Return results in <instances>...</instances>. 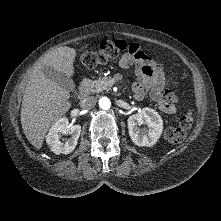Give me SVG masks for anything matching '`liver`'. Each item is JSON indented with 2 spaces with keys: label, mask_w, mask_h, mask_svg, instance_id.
<instances>
[{
  "label": "liver",
  "mask_w": 221,
  "mask_h": 221,
  "mask_svg": "<svg viewBox=\"0 0 221 221\" xmlns=\"http://www.w3.org/2000/svg\"><path fill=\"white\" fill-rule=\"evenodd\" d=\"M76 50L67 46L54 49L36 61L22 99L21 125L36 149H41L48 130L71 108L69 90L47 78L43 71L51 69L74 75Z\"/></svg>",
  "instance_id": "1"
}]
</instances>
